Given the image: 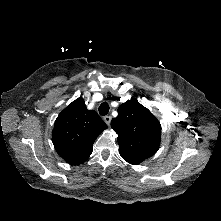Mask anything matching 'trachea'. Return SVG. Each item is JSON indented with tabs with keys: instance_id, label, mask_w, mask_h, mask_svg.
<instances>
[{
	"instance_id": "trachea-1",
	"label": "trachea",
	"mask_w": 221,
	"mask_h": 221,
	"mask_svg": "<svg viewBox=\"0 0 221 221\" xmlns=\"http://www.w3.org/2000/svg\"><path fill=\"white\" fill-rule=\"evenodd\" d=\"M109 104L107 102H103L100 106H99V114L100 115H106L109 112Z\"/></svg>"
}]
</instances>
